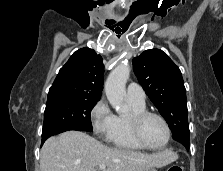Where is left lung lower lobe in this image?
Listing matches in <instances>:
<instances>
[{"instance_id": "0a47b994", "label": "left lung lower lobe", "mask_w": 223, "mask_h": 171, "mask_svg": "<svg viewBox=\"0 0 223 171\" xmlns=\"http://www.w3.org/2000/svg\"><path fill=\"white\" fill-rule=\"evenodd\" d=\"M187 151H189V147H186Z\"/></svg>"}]
</instances>
